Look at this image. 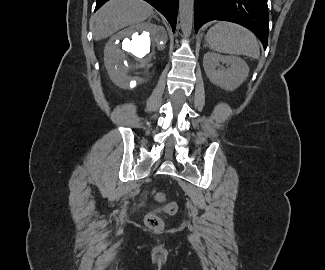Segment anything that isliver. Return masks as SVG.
<instances>
[{"label":"liver","mask_w":325,"mask_h":270,"mask_svg":"<svg viewBox=\"0 0 325 270\" xmlns=\"http://www.w3.org/2000/svg\"><path fill=\"white\" fill-rule=\"evenodd\" d=\"M153 14V7L142 0H110L93 16L92 31L95 40L143 22Z\"/></svg>","instance_id":"6515ba94"}]
</instances>
